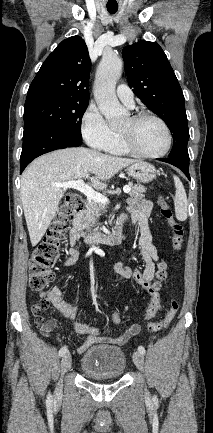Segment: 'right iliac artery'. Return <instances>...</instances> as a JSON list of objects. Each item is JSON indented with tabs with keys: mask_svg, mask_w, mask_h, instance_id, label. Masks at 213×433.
Segmentation results:
<instances>
[{
	"mask_svg": "<svg viewBox=\"0 0 213 433\" xmlns=\"http://www.w3.org/2000/svg\"><path fill=\"white\" fill-rule=\"evenodd\" d=\"M68 351L66 346H63L60 350H59V356H63L64 354H66ZM47 404L51 405L52 404V396L49 394L47 397Z\"/></svg>",
	"mask_w": 213,
	"mask_h": 433,
	"instance_id": "obj_1",
	"label": "right iliac artery"
}]
</instances>
